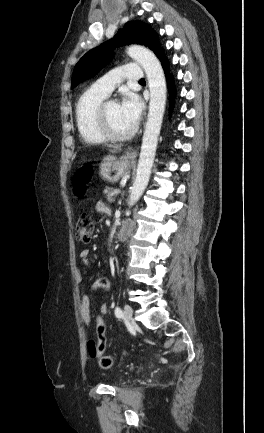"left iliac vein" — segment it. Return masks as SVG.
Wrapping results in <instances>:
<instances>
[{
  "instance_id": "left-iliac-vein-1",
  "label": "left iliac vein",
  "mask_w": 264,
  "mask_h": 433,
  "mask_svg": "<svg viewBox=\"0 0 264 433\" xmlns=\"http://www.w3.org/2000/svg\"><path fill=\"white\" fill-rule=\"evenodd\" d=\"M124 317H125V320H126L128 323H131V322H132V318H133V310H132L131 306L128 305V304H126V305L124 306Z\"/></svg>"
}]
</instances>
